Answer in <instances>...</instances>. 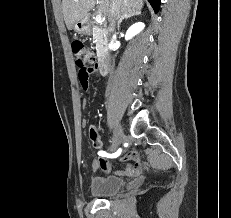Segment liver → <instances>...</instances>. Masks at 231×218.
Wrapping results in <instances>:
<instances>
[{
    "label": "liver",
    "instance_id": "6515ba94",
    "mask_svg": "<svg viewBox=\"0 0 231 218\" xmlns=\"http://www.w3.org/2000/svg\"><path fill=\"white\" fill-rule=\"evenodd\" d=\"M119 15H129L140 12L143 7V0H120ZM95 6V0H62V11L68 30L73 25L85 19L89 11ZM112 0H100L98 12L106 18L111 17Z\"/></svg>",
    "mask_w": 231,
    "mask_h": 218
}]
</instances>
